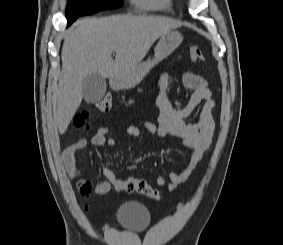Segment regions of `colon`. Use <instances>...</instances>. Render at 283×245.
Returning a JSON list of instances; mask_svg holds the SVG:
<instances>
[{
    "label": "colon",
    "instance_id": "1",
    "mask_svg": "<svg viewBox=\"0 0 283 245\" xmlns=\"http://www.w3.org/2000/svg\"><path fill=\"white\" fill-rule=\"evenodd\" d=\"M189 57L191 61H202L204 60V55L201 49L197 46H191L189 49ZM112 107V97L110 95L105 96L99 102L95 104V109L99 112H107ZM90 111H83L82 113L78 114L74 118V125L79 128H88L87 120L89 118ZM78 188L80 193L88 197L91 193V183L87 180H79L78 181ZM114 188L116 190L126 191V192H137L141 195L149 197L154 200L160 199V193L157 189L153 188L150 184H148L143 179L138 178H127L121 179L118 178L117 181L114 183Z\"/></svg>",
    "mask_w": 283,
    "mask_h": 245
}]
</instances>
